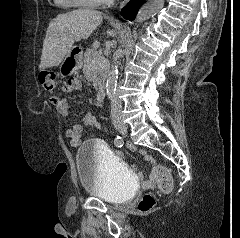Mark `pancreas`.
Listing matches in <instances>:
<instances>
[{"instance_id": "pancreas-1", "label": "pancreas", "mask_w": 240, "mask_h": 238, "mask_svg": "<svg viewBox=\"0 0 240 238\" xmlns=\"http://www.w3.org/2000/svg\"><path fill=\"white\" fill-rule=\"evenodd\" d=\"M101 59V63H97V59ZM109 69V61L101 52L93 48H89L84 53V72L88 75V80L93 83L94 89H98L104 82L107 71Z\"/></svg>"}]
</instances>
